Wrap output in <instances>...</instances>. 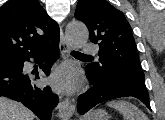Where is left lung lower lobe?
Returning a JSON list of instances; mask_svg holds the SVG:
<instances>
[{"label": "left lung lower lobe", "instance_id": "1", "mask_svg": "<svg viewBox=\"0 0 165 120\" xmlns=\"http://www.w3.org/2000/svg\"><path fill=\"white\" fill-rule=\"evenodd\" d=\"M88 71L89 70L86 67L87 77L92 87L78 98L77 109L81 115L104 101L129 96L141 100L149 109H151L147 90L138 88H101L90 78Z\"/></svg>", "mask_w": 165, "mask_h": 120}]
</instances>
